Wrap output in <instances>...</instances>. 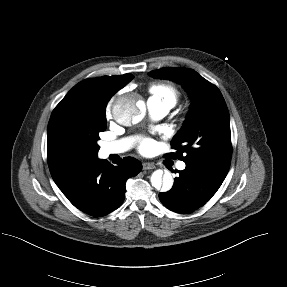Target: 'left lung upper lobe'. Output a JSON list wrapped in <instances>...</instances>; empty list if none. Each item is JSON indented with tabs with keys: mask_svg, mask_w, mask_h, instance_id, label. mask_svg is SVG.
Listing matches in <instances>:
<instances>
[{
	"mask_svg": "<svg viewBox=\"0 0 287 287\" xmlns=\"http://www.w3.org/2000/svg\"><path fill=\"white\" fill-rule=\"evenodd\" d=\"M182 84L191 97V109L183 127L171 141L175 153L165 156L206 169L225 179L231 162L229 112L219 89L188 68H162L149 73Z\"/></svg>",
	"mask_w": 287,
	"mask_h": 287,
	"instance_id": "left-lung-upper-lobe-1",
	"label": "left lung upper lobe"
}]
</instances>
